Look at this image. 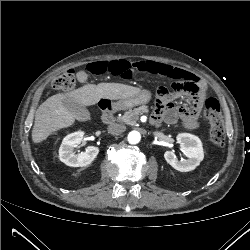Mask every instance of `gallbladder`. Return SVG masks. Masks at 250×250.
<instances>
[{
	"label": "gallbladder",
	"mask_w": 250,
	"mask_h": 250,
	"mask_svg": "<svg viewBox=\"0 0 250 250\" xmlns=\"http://www.w3.org/2000/svg\"><path fill=\"white\" fill-rule=\"evenodd\" d=\"M62 104L77 120L87 121L90 119L89 111L81 103L71 98H65Z\"/></svg>",
	"instance_id": "1"
}]
</instances>
